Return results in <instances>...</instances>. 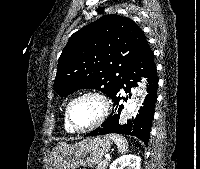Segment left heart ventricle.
Listing matches in <instances>:
<instances>
[{
    "mask_svg": "<svg viewBox=\"0 0 200 169\" xmlns=\"http://www.w3.org/2000/svg\"><path fill=\"white\" fill-rule=\"evenodd\" d=\"M101 112L99 101L93 97H86L76 101L71 108L73 124L78 128L92 125Z\"/></svg>",
    "mask_w": 200,
    "mask_h": 169,
    "instance_id": "1",
    "label": "left heart ventricle"
}]
</instances>
